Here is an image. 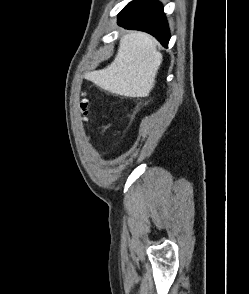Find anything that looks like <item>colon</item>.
I'll return each instance as SVG.
<instances>
[{
	"instance_id": "obj_1",
	"label": "colon",
	"mask_w": 249,
	"mask_h": 294,
	"mask_svg": "<svg viewBox=\"0 0 249 294\" xmlns=\"http://www.w3.org/2000/svg\"><path fill=\"white\" fill-rule=\"evenodd\" d=\"M82 110L84 111V113L86 114L87 113V111H88V103H87V101H83V103H82Z\"/></svg>"
}]
</instances>
